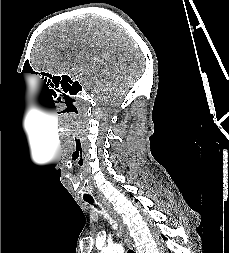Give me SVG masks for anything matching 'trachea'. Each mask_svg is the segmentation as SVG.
<instances>
[{"label": "trachea", "mask_w": 229, "mask_h": 253, "mask_svg": "<svg viewBox=\"0 0 229 253\" xmlns=\"http://www.w3.org/2000/svg\"><path fill=\"white\" fill-rule=\"evenodd\" d=\"M84 200H85L86 202H88L89 204L94 205V206L96 207V205L94 204V199H93V197H91V196H89V197H84ZM128 253H134V251H133V250H128Z\"/></svg>", "instance_id": "obj_1"}]
</instances>
